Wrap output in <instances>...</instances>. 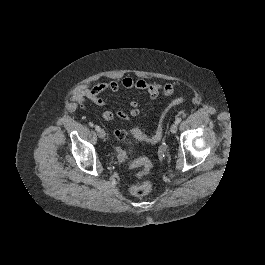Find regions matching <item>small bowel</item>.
Returning <instances> with one entry per match:
<instances>
[{"label": "small bowel", "mask_w": 265, "mask_h": 265, "mask_svg": "<svg viewBox=\"0 0 265 265\" xmlns=\"http://www.w3.org/2000/svg\"><path fill=\"white\" fill-rule=\"evenodd\" d=\"M165 86H170L173 93V87L169 84L161 86L154 82H148L142 79L136 80L129 76H125L120 81L108 80L103 82L82 84L77 88L76 96L78 100H88L96 105L101 106L105 105L107 102L105 97L107 93L118 92L121 88L143 90L147 92L150 99H155L161 90L164 91ZM150 110L153 111L154 108ZM138 114L139 106L135 101L130 103L128 112H117V116L120 119H127L129 115L137 116ZM102 117L105 121H112L114 119V114L111 111H104Z\"/></svg>", "instance_id": "small-bowel-1"}]
</instances>
